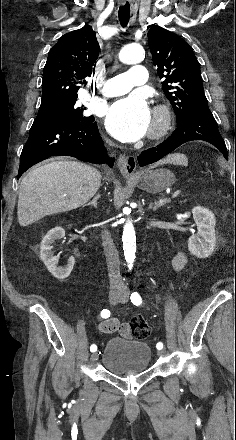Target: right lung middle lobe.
Masks as SVG:
<instances>
[{"label": "right lung middle lobe", "instance_id": "dd1d6c3e", "mask_svg": "<svg viewBox=\"0 0 236 440\" xmlns=\"http://www.w3.org/2000/svg\"><path fill=\"white\" fill-rule=\"evenodd\" d=\"M86 108L76 106V99L60 102L50 105L40 106L37 116L50 115L67 118L74 121H89L93 120V116H85L83 111Z\"/></svg>", "mask_w": 236, "mask_h": 440}]
</instances>
